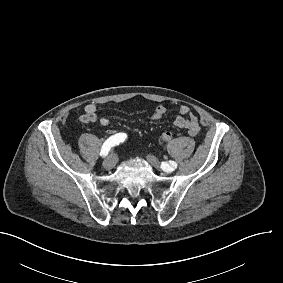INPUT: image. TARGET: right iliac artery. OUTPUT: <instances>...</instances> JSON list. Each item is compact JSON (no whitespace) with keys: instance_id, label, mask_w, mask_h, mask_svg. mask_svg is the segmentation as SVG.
I'll return each mask as SVG.
<instances>
[{"instance_id":"right-iliac-artery-1","label":"right iliac artery","mask_w":283,"mask_h":283,"mask_svg":"<svg viewBox=\"0 0 283 283\" xmlns=\"http://www.w3.org/2000/svg\"><path fill=\"white\" fill-rule=\"evenodd\" d=\"M127 138V135L125 133H117L111 137H109L103 144L100 155L106 156L110 149L114 146L119 145L121 142H124V140Z\"/></svg>"}]
</instances>
